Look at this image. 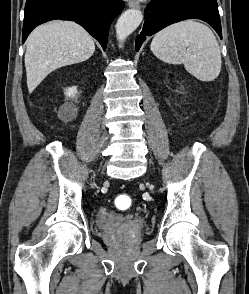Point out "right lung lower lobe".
Listing matches in <instances>:
<instances>
[{"mask_svg": "<svg viewBox=\"0 0 249 294\" xmlns=\"http://www.w3.org/2000/svg\"><path fill=\"white\" fill-rule=\"evenodd\" d=\"M123 8L122 0H27L22 43L36 26L61 19L83 26L106 50L110 24Z\"/></svg>", "mask_w": 249, "mask_h": 294, "instance_id": "1", "label": "right lung lower lobe"}]
</instances>
